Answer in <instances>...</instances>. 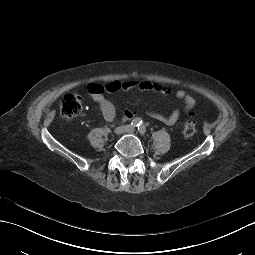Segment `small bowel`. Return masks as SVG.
<instances>
[{
    "label": "small bowel",
    "mask_w": 255,
    "mask_h": 255,
    "mask_svg": "<svg viewBox=\"0 0 255 255\" xmlns=\"http://www.w3.org/2000/svg\"><path fill=\"white\" fill-rule=\"evenodd\" d=\"M132 88H138L141 91H152L156 93H160L163 95H168L171 91L157 83L149 82V81H128L124 83H120L118 81L110 82L107 85H101L98 83H90L87 86V93L89 96L97 103L99 109L104 117V119L108 122H115L116 120V110L113 103L106 98L105 93L116 92L119 90H130ZM174 96L181 100L185 104L186 112H189L194 104V98L188 94L185 90L179 89L174 92ZM137 111L134 109H126L122 113L121 121H127L135 117ZM148 115L158 121H161L167 125H174L178 122L180 112L178 110H174L171 115L164 116L154 111H148Z\"/></svg>",
    "instance_id": "c3829d8e"
}]
</instances>
